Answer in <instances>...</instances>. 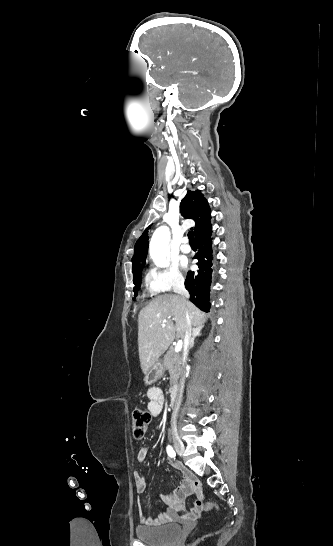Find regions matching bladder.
I'll list each match as a JSON object with an SVG mask.
<instances>
[{
    "instance_id": "bladder-1",
    "label": "bladder",
    "mask_w": 333,
    "mask_h": 546,
    "mask_svg": "<svg viewBox=\"0 0 333 546\" xmlns=\"http://www.w3.org/2000/svg\"><path fill=\"white\" fill-rule=\"evenodd\" d=\"M182 532L178 523H167L161 526H141L135 531L139 541L149 546H171Z\"/></svg>"
}]
</instances>
